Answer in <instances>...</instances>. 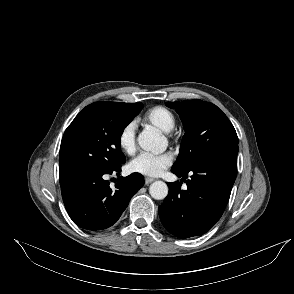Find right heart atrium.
<instances>
[{
	"mask_svg": "<svg viewBox=\"0 0 294 294\" xmlns=\"http://www.w3.org/2000/svg\"><path fill=\"white\" fill-rule=\"evenodd\" d=\"M136 131V123L130 121L118 134L119 148L126 154H132L136 149Z\"/></svg>",
	"mask_w": 294,
	"mask_h": 294,
	"instance_id": "right-heart-atrium-1",
	"label": "right heart atrium"
}]
</instances>
